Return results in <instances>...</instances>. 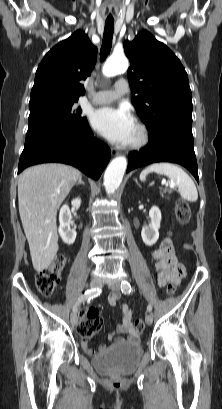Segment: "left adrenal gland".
I'll use <instances>...</instances> for the list:
<instances>
[{"instance_id":"a2214340","label":"left adrenal gland","mask_w":222,"mask_h":409,"mask_svg":"<svg viewBox=\"0 0 222 409\" xmlns=\"http://www.w3.org/2000/svg\"><path fill=\"white\" fill-rule=\"evenodd\" d=\"M135 182L138 184L137 179H135ZM139 185V184H138Z\"/></svg>"}]
</instances>
